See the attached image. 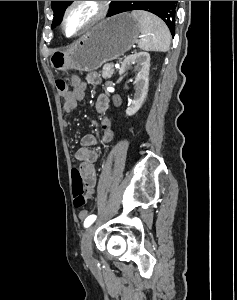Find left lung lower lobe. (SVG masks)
Instances as JSON below:
<instances>
[{
  "instance_id": "obj_1",
  "label": "left lung lower lobe",
  "mask_w": 237,
  "mask_h": 300,
  "mask_svg": "<svg viewBox=\"0 0 237 300\" xmlns=\"http://www.w3.org/2000/svg\"><path fill=\"white\" fill-rule=\"evenodd\" d=\"M115 14H118V13H116V12H113V10L108 14V16H112V15H115ZM173 36H174V34H173Z\"/></svg>"
}]
</instances>
